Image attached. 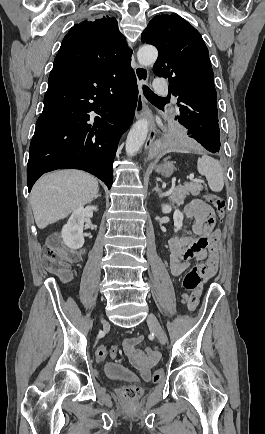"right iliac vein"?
Masks as SVG:
<instances>
[{
    "label": "right iliac vein",
    "mask_w": 265,
    "mask_h": 434,
    "mask_svg": "<svg viewBox=\"0 0 265 434\" xmlns=\"http://www.w3.org/2000/svg\"><path fill=\"white\" fill-rule=\"evenodd\" d=\"M101 321H102V323H105V320H104V319H102Z\"/></svg>",
    "instance_id": "right-iliac-vein-1"
}]
</instances>
